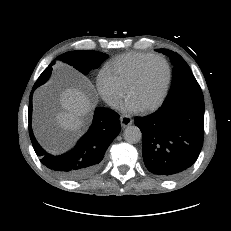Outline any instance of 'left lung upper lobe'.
I'll return each mask as SVG.
<instances>
[{
	"mask_svg": "<svg viewBox=\"0 0 231 231\" xmlns=\"http://www.w3.org/2000/svg\"><path fill=\"white\" fill-rule=\"evenodd\" d=\"M156 51L169 56L174 65L172 84L163 104L173 101L184 94L201 91L190 67L178 53L168 49H156Z\"/></svg>",
	"mask_w": 231,
	"mask_h": 231,
	"instance_id": "obj_1",
	"label": "left lung upper lobe"
}]
</instances>
